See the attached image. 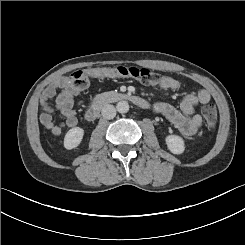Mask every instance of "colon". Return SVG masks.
<instances>
[{
  "label": "colon",
  "mask_w": 245,
  "mask_h": 245,
  "mask_svg": "<svg viewBox=\"0 0 245 245\" xmlns=\"http://www.w3.org/2000/svg\"><path fill=\"white\" fill-rule=\"evenodd\" d=\"M132 78L146 85H160L165 77L148 68L118 66L78 70L66 78L70 87L81 90L88 86L92 78ZM202 116L208 128H214L217 122V111L213 105L202 108Z\"/></svg>",
  "instance_id": "colon-1"
}]
</instances>
